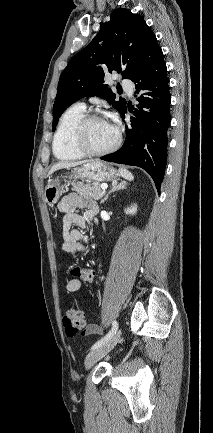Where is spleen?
I'll list each match as a JSON object with an SVG mask.
<instances>
[{"mask_svg":"<svg viewBox=\"0 0 213 433\" xmlns=\"http://www.w3.org/2000/svg\"><path fill=\"white\" fill-rule=\"evenodd\" d=\"M119 173L123 178H125L129 181H132L134 179V176L132 175V173L126 169H123V168L119 169Z\"/></svg>","mask_w":213,"mask_h":433,"instance_id":"spleen-1","label":"spleen"}]
</instances>
